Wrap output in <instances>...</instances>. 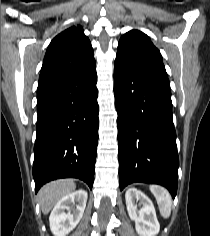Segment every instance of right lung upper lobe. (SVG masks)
<instances>
[{
    "mask_svg": "<svg viewBox=\"0 0 210 236\" xmlns=\"http://www.w3.org/2000/svg\"><path fill=\"white\" fill-rule=\"evenodd\" d=\"M95 66L88 37L84 35L81 26H72L57 35L49 44L40 72L38 89L87 72Z\"/></svg>",
    "mask_w": 210,
    "mask_h": 236,
    "instance_id": "obj_1",
    "label": "right lung upper lobe"
}]
</instances>
